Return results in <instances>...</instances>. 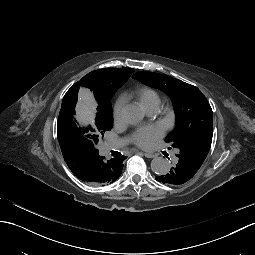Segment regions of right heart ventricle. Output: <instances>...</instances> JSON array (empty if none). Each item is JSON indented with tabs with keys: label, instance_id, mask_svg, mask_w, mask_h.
<instances>
[{
	"label": "right heart ventricle",
	"instance_id": "e07e8e85",
	"mask_svg": "<svg viewBox=\"0 0 255 255\" xmlns=\"http://www.w3.org/2000/svg\"><path fill=\"white\" fill-rule=\"evenodd\" d=\"M138 102L147 111L153 108L158 110L160 105V95L158 91L152 87H142L138 92Z\"/></svg>",
	"mask_w": 255,
	"mask_h": 255
}]
</instances>
